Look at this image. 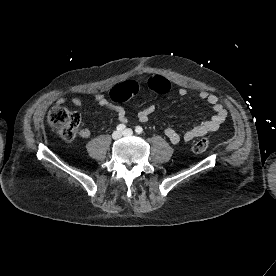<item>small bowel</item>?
Listing matches in <instances>:
<instances>
[{
    "label": "small bowel",
    "mask_w": 276,
    "mask_h": 276,
    "mask_svg": "<svg viewBox=\"0 0 276 276\" xmlns=\"http://www.w3.org/2000/svg\"><path fill=\"white\" fill-rule=\"evenodd\" d=\"M147 83L149 88L156 92L165 93L169 89L165 83L161 82V78L156 76L150 77ZM153 83L155 84L154 87L151 86V84ZM121 87L129 93V98L137 95L140 90L139 83L135 80H129L125 82ZM178 94L180 96L186 95L187 89L184 87L179 88ZM91 95L97 105L108 107L113 110L116 113L118 121H127V115L124 108L115 104L112 100L108 99L105 94L101 92H91ZM198 96L201 100L206 101L212 107L214 114L208 120L193 126L191 129L187 130L184 133H179L174 128L167 127L164 130V134L172 144H178L181 141L191 142L196 138L203 137L209 133L218 130L221 124L225 121L227 117V110L220 102L217 95L209 93L207 91H201L199 92ZM64 101V98L58 99V103H64ZM72 103L75 106H81L83 103V99L81 96L73 97ZM155 109L156 106L154 104H150L137 114V119L140 122H147L150 115L155 111ZM78 135L80 138L83 139L88 138L90 136V130L87 128L80 129L78 131Z\"/></svg>",
    "instance_id": "c3829d8e"
}]
</instances>
